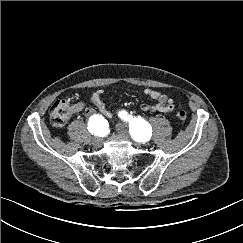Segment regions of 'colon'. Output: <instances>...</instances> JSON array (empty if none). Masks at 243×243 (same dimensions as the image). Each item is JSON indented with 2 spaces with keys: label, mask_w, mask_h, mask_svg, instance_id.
Returning <instances> with one entry per match:
<instances>
[{
  "label": "colon",
  "mask_w": 243,
  "mask_h": 243,
  "mask_svg": "<svg viewBox=\"0 0 243 243\" xmlns=\"http://www.w3.org/2000/svg\"><path fill=\"white\" fill-rule=\"evenodd\" d=\"M74 109L73 98L71 96L63 97L57 100L50 108V120L56 127H63L68 122V119ZM176 117L179 122H185L187 114L180 109L176 112Z\"/></svg>",
  "instance_id": "5ec220e1"
}]
</instances>
